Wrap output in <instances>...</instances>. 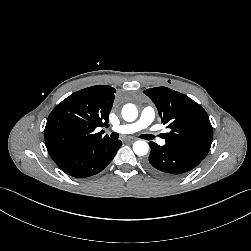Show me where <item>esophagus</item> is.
Wrapping results in <instances>:
<instances>
[{"label":"esophagus","mask_w":251,"mask_h":251,"mask_svg":"<svg viewBox=\"0 0 251 251\" xmlns=\"http://www.w3.org/2000/svg\"><path fill=\"white\" fill-rule=\"evenodd\" d=\"M135 140V138H128L127 141L129 142H133Z\"/></svg>","instance_id":"esophagus-1"}]
</instances>
